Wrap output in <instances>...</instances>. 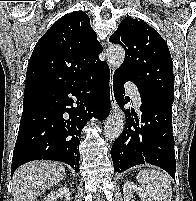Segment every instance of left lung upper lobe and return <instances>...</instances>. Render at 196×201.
I'll return each instance as SVG.
<instances>
[{"label": "left lung upper lobe", "instance_id": "5c2ea615", "mask_svg": "<svg viewBox=\"0 0 196 201\" xmlns=\"http://www.w3.org/2000/svg\"><path fill=\"white\" fill-rule=\"evenodd\" d=\"M109 41L122 45L126 53L114 74L135 83L140 91L173 102L172 59L166 42L156 30L144 21L125 18Z\"/></svg>", "mask_w": 196, "mask_h": 201}]
</instances>
